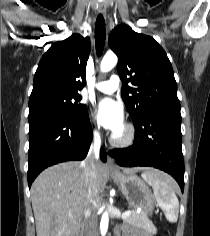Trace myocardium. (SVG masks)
Wrapping results in <instances>:
<instances>
[{
  "label": "myocardium",
  "mask_w": 210,
  "mask_h": 236,
  "mask_svg": "<svg viewBox=\"0 0 210 236\" xmlns=\"http://www.w3.org/2000/svg\"><path fill=\"white\" fill-rule=\"evenodd\" d=\"M124 135L122 137H117L113 134L110 138V142L115 147H128L133 144L136 138V129L132 123H126L124 125Z\"/></svg>",
  "instance_id": "obj_1"
}]
</instances>
